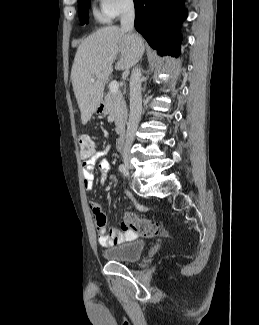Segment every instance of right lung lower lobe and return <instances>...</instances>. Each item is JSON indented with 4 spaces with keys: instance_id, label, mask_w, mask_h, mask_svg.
<instances>
[{
    "instance_id": "right-lung-lower-lobe-1",
    "label": "right lung lower lobe",
    "mask_w": 259,
    "mask_h": 325,
    "mask_svg": "<svg viewBox=\"0 0 259 325\" xmlns=\"http://www.w3.org/2000/svg\"><path fill=\"white\" fill-rule=\"evenodd\" d=\"M135 28L158 54L179 55L184 0H134Z\"/></svg>"
}]
</instances>
